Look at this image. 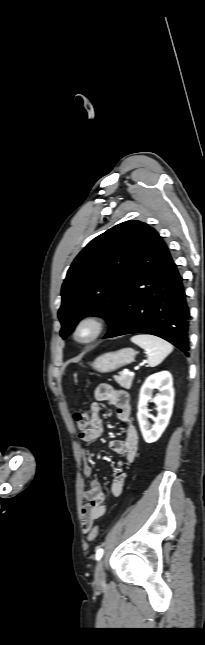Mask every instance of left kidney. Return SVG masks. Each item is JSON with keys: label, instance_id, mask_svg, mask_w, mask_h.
I'll list each match as a JSON object with an SVG mask.
<instances>
[{"label": "left kidney", "instance_id": "5707ae66", "mask_svg": "<svg viewBox=\"0 0 205 645\" xmlns=\"http://www.w3.org/2000/svg\"><path fill=\"white\" fill-rule=\"evenodd\" d=\"M154 389L160 391L154 398ZM152 400L158 405V415L152 427L148 422L149 410L147 403ZM174 404V389L172 376L167 371H162L149 376L140 390L137 419L143 438L147 443L157 441L166 429L172 415Z\"/></svg>", "mask_w": 205, "mask_h": 645}]
</instances>
